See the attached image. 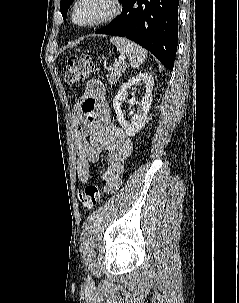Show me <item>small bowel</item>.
I'll return each instance as SVG.
<instances>
[{
    "label": "small bowel",
    "mask_w": 239,
    "mask_h": 303,
    "mask_svg": "<svg viewBox=\"0 0 239 303\" xmlns=\"http://www.w3.org/2000/svg\"><path fill=\"white\" fill-rule=\"evenodd\" d=\"M100 80H90L75 110V145L78 154L76 170L80 182H89V164L107 152V167L103 172V192L119 189L125 162L133 150L130 137L111 120L103 97Z\"/></svg>",
    "instance_id": "obj_1"
}]
</instances>
